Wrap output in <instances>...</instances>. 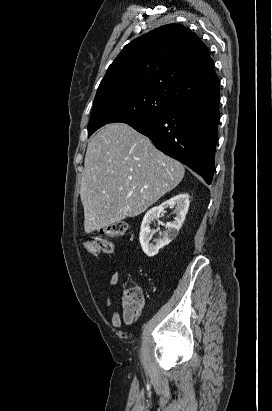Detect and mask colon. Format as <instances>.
I'll return each mask as SVG.
<instances>
[{"label":"colon","instance_id":"1","mask_svg":"<svg viewBox=\"0 0 272 411\" xmlns=\"http://www.w3.org/2000/svg\"><path fill=\"white\" fill-rule=\"evenodd\" d=\"M127 224L117 221L101 228L96 234L84 242V248L89 254L98 255L113 251V239L125 233ZM143 294L138 285L127 284L123 290L122 315L125 321H135L142 309Z\"/></svg>","mask_w":272,"mask_h":411}]
</instances>
